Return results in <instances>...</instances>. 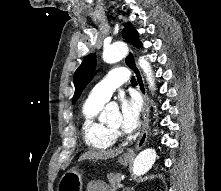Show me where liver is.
Segmentation results:
<instances>
[{
	"instance_id": "6515ba94",
	"label": "liver",
	"mask_w": 221,
	"mask_h": 191,
	"mask_svg": "<svg viewBox=\"0 0 221 191\" xmlns=\"http://www.w3.org/2000/svg\"><path fill=\"white\" fill-rule=\"evenodd\" d=\"M122 149H111V150H100V151H88L82 154L79 158V161L83 160H105L109 158H114L115 156L121 154Z\"/></svg>"
}]
</instances>
